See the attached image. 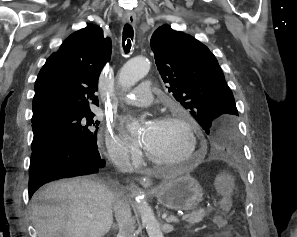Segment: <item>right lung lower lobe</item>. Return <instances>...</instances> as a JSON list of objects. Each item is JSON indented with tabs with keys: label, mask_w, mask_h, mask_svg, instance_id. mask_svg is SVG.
I'll use <instances>...</instances> for the list:
<instances>
[{
	"label": "right lung lower lobe",
	"mask_w": 297,
	"mask_h": 237,
	"mask_svg": "<svg viewBox=\"0 0 297 237\" xmlns=\"http://www.w3.org/2000/svg\"><path fill=\"white\" fill-rule=\"evenodd\" d=\"M29 195L42 185L81 175L98 173L105 165L97 144L87 145L63 134H54L31 146Z\"/></svg>",
	"instance_id": "98d812e1"
}]
</instances>
